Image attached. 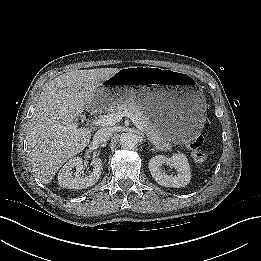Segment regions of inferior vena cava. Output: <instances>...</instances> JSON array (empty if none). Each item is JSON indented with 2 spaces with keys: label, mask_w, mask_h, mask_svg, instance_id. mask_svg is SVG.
I'll use <instances>...</instances> for the list:
<instances>
[{
  "label": "inferior vena cava",
  "mask_w": 261,
  "mask_h": 261,
  "mask_svg": "<svg viewBox=\"0 0 261 261\" xmlns=\"http://www.w3.org/2000/svg\"><path fill=\"white\" fill-rule=\"evenodd\" d=\"M112 136V130L110 128H101L99 129L95 135L94 140L102 143L108 141Z\"/></svg>",
  "instance_id": "1"
}]
</instances>
